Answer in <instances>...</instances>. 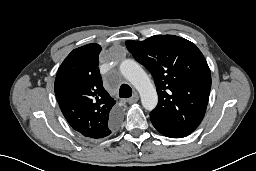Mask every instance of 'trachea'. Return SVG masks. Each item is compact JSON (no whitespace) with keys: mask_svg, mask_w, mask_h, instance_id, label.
Instances as JSON below:
<instances>
[{"mask_svg":"<svg viewBox=\"0 0 256 171\" xmlns=\"http://www.w3.org/2000/svg\"><path fill=\"white\" fill-rule=\"evenodd\" d=\"M119 96L121 98H129L132 96V89L128 84H122L119 89Z\"/></svg>","mask_w":256,"mask_h":171,"instance_id":"1","label":"trachea"}]
</instances>
